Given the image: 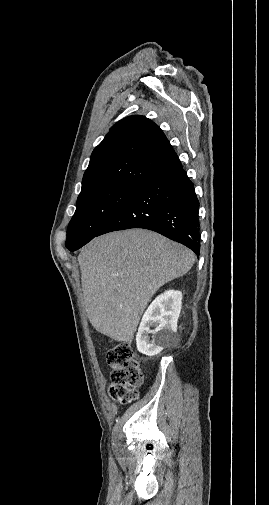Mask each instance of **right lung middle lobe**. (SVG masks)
Listing matches in <instances>:
<instances>
[{"label":"right lung middle lobe","mask_w":269,"mask_h":505,"mask_svg":"<svg viewBox=\"0 0 269 505\" xmlns=\"http://www.w3.org/2000/svg\"><path fill=\"white\" fill-rule=\"evenodd\" d=\"M138 188L103 184L82 191L68 226L66 248L75 251L96 237Z\"/></svg>","instance_id":"dd1d6c3e"}]
</instances>
